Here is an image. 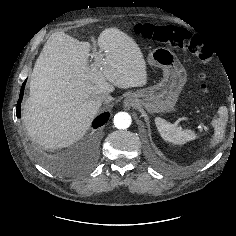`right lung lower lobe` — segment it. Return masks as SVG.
<instances>
[{"label":"right lung lower lobe","mask_w":236,"mask_h":236,"mask_svg":"<svg viewBox=\"0 0 236 236\" xmlns=\"http://www.w3.org/2000/svg\"><path fill=\"white\" fill-rule=\"evenodd\" d=\"M25 83H26V80L24 81L23 86L21 87L20 97L18 100V105H17V110H16L18 118H20V104H21V101L23 98ZM108 119H109V113L108 112L103 113L93 121L92 127L94 129H97L100 126H102L104 123H106L108 121Z\"/></svg>","instance_id":"1"}]
</instances>
